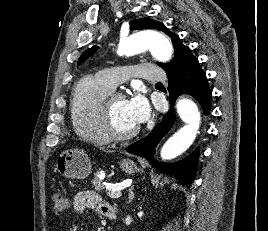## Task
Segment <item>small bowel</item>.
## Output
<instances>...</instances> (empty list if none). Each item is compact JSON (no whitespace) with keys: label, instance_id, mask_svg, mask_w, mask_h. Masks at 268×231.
<instances>
[{"label":"small bowel","instance_id":"small-bowel-1","mask_svg":"<svg viewBox=\"0 0 268 231\" xmlns=\"http://www.w3.org/2000/svg\"><path fill=\"white\" fill-rule=\"evenodd\" d=\"M75 219L79 220L87 209H91L106 217H113V208L95 191L78 192L72 203ZM68 231H79L77 223H73Z\"/></svg>","mask_w":268,"mask_h":231}]
</instances>
